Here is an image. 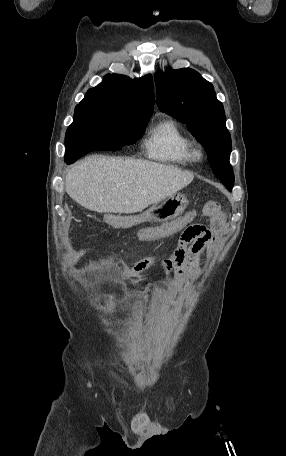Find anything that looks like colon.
Here are the masks:
<instances>
[{"instance_id": "obj_1", "label": "colon", "mask_w": 286, "mask_h": 456, "mask_svg": "<svg viewBox=\"0 0 286 456\" xmlns=\"http://www.w3.org/2000/svg\"><path fill=\"white\" fill-rule=\"evenodd\" d=\"M205 209L206 211H215L219 209V205L215 201H210L205 204Z\"/></svg>"}]
</instances>
